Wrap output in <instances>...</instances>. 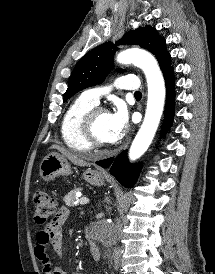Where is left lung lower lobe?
I'll list each match as a JSON object with an SVG mask.
<instances>
[{"mask_svg":"<svg viewBox=\"0 0 215 274\" xmlns=\"http://www.w3.org/2000/svg\"><path fill=\"white\" fill-rule=\"evenodd\" d=\"M166 89H167V102L165 108V118L161 133H165L170 127L174 115V74L173 68H169L163 73ZM97 165L107 168L111 165L110 173L124 186L131 187L137 180L139 166H133L128 163L126 152H122L115 159L108 158L96 162Z\"/></svg>","mask_w":215,"mask_h":274,"instance_id":"obj_1","label":"left lung lower lobe"}]
</instances>
